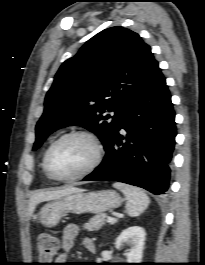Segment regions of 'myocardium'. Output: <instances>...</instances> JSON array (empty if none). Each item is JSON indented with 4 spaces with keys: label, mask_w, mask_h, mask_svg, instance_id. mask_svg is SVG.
Listing matches in <instances>:
<instances>
[{
    "label": "myocardium",
    "mask_w": 205,
    "mask_h": 265,
    "mask_svg": "<svg viewBox=\"0 0 205 265\" xmlns=\"http://www.w3.org/2000/svg\"><path fill=\"white\" fill-rule=\"evenodd\" d=\"M71 137H83L89 140L94 147V157L92 161L82 171L78 172L77 174L71 176H59L55 174L50 168L49 165L50 154L59 143ZM102 159H103V147L97 136L85 130H72L62 134L50 144L43 158V167L45 172L48 174L50 178L61 182H72L82 179L88 176L89 174H91L100 165Z\"/></svg>",
    "instance_id": "f54148a6"
}]
</instances>
